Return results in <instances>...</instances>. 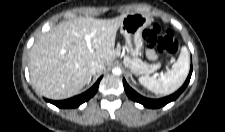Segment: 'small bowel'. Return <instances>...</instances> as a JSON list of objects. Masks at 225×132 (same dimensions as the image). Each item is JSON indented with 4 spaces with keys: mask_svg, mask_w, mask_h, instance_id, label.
Masks as SVG:
<instances>
[{
    "mask_svg": "<svg viewBox=\"0 0 225 132\" xmlns=\"http://www.w3.org/2000/svg\"><path fill=\"white\" fill-rule=\"evenodd\" d=\"M146 56L149 60H156L157 59V54L156 52L150 48V47H147L146 48Z\"/></svg>",
    "mask_w": 225,
    "mask_h": 132,
    "instance_id": "obj_1",
    "label": "small bowel"
}]
</instances>
